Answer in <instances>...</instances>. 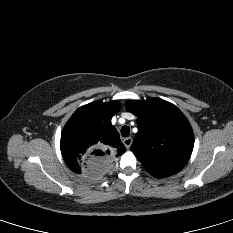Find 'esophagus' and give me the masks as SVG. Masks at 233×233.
Listing matches in <instances>:
<instances>
[{
    "mask_svg": "<svg viewBox=\"0 0 233 233\" xmlns=\"http://www.w3.org/2000/svg\"><path fill=\"white\" fill-rule=\"evenodd\" d=\"M132 142H133V139L131 137H127L123 140V144L125 145L127 149L130 148Z\"/></svg>",
    "mask_w": 233,
    "mask_h": 233,
    "instance_id": "34e87169",
    "label": "esophagus"
}]
</instances>
